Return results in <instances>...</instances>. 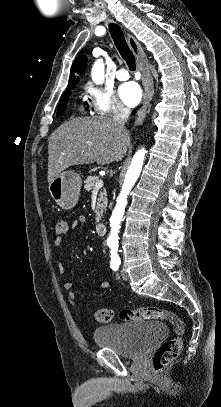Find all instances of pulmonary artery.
<instances>
[{
    "label": "pulmonary artery",
    "instance_id": "1",
    "mask_svg": "<svg viewBox=\"0 0 221 407\" xmlns=\"http://www.w3.org/2000/svg\"><path fill=\"white\" fill-rule=\"evenodd\" d=\"M116 78L120 81H125L129 79V74L126 68L121 67L116 72Z\"/></svg>",
    "mask_w": 221,
    "mask_h": 407
}]
</instances>
